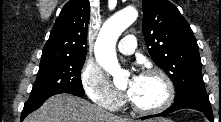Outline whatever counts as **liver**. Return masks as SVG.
Here are the masks:
<instances>
[{
  "label": "liver",
  "mask_w": 221,
  "mask_h": 122,
  "mask_svg": "<svg viewBox=\"0 0 221 122\" xmlns=\"http://www.w3.org/2000/svg\"><path fill=\"white\" fill-rule=\"evenodd\" d=\"M24 122H133L70 94L50 97Z\"/></svg>",
  "instance_id": "6515ba94"
}]
</instances>
